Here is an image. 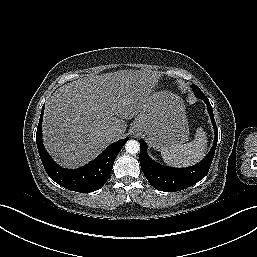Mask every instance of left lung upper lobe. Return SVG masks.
Returning <instances> with one entry per match:
<instances>
[{
    "label": "left lung upper lobe",
    "mask_w": 257,
    "mask_h": 257,
    "mask_svg": "<svg viewBox=\"0 0 257 257\" xmlns=\"http://www.w3.org/2000/svg\"><path fill=\"white\" fill-rule=\"evenodd\" d=\"M194 92H201L200 88L197 85H192Z\"/></svg>",
    "instance_id": "5c2ea615"
}]
</instances>
